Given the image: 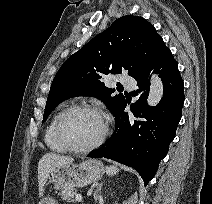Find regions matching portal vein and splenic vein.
Wrapping results in <instances>:
<instances>
[{
	"instance_id": "portal-vein-and-splenic-vein-1",
	"label": "portal vein and splenic vein",
	"mask_w": 212,
	"mask_h": 204,
	"mask_svg": "<svg viewBox=\"0 0 212 204\" xmlns=\"http://www.w3.org/2000/svg\"><path fill=\"white\" fill-rule=\"evenodd\" d=\"M75 199H76V201H82V196L81 195H79V194H77L76 196H75Z\"/></svg>"
}]
</instances>
